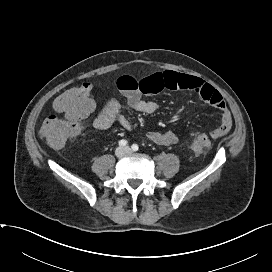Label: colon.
<instances>
[{"label": "colon", "mask_w": 272, "mask_h": 272, "mask_svg": "<svg viewBox=\"0 0 272 272\" xmlns=\"http://www.w3.org/2000/svg\"><path fill=\"white\" fill-rule=\"evenodd\" d=\"M53 108L56 113L46 118L40 132L51 147L58 148L79 133L81 121L94 108L90 83L84 82L65 90L55 99ZM210 144L207 135H199L194 139L192 149L201 152Z\"/></svg>", "instance_id": "obj_1"}]
</instances>
